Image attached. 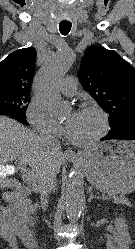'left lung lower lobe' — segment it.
I'll return each mask as SVG.
<instances>
[{"instance_id":"0a47b994","label":"left lung lower lobe","mask_w":135,"mask_h":249,"mask_svg":"<svg viewBox=\"0 0 135 249\" xmlns=\"http://www.w3.org/2000/svg\"><path fill=\"white\" fill-rule=\"evenodd\" d=\"M112 139L135 140V115L130 116L125 126L115 130L111 129L108 135L102 138L103 141Z\"/></svg>"}]
</instances>
